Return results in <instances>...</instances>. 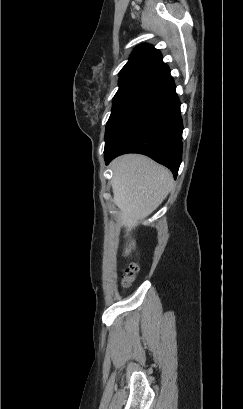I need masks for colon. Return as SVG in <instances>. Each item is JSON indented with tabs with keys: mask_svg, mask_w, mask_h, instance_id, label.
Segmentation results:
<instances>
[{
	"mask_svg": "<svg viewBox=\"0 0 243 409\" xmlns=\"http://www.w3.org/2000/svg\"><path fill=\"white\" fill-rule=\"evenodd\" d=\"M139 270V265L136 262L130 263L123 271L122 274V286L127 288L130 286L134 280L137 272Z\"/></svg>",
	"mask_w": 243,
	"mask_h": 409,
	"instance_id": "1",
	"label": "colon"
}]
</instances>
